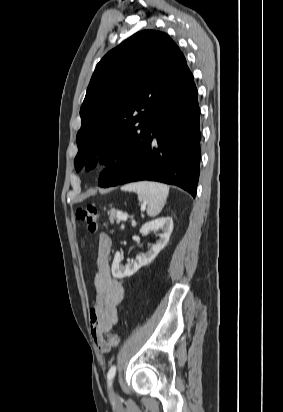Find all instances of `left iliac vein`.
Instances as JSON below:
<instances>
[{
  "label": "left iliac vein",
  "mask_w": 283,
  "mask_h": 412,
  "mask_svg": "<svg viewBox=\"0 0 283 412\" xmlns=\"http://www.w3.org/2000/svg\"><path fill=\"white\" fill-rule=\"evenodd\" d=\"M112 398L114 399V400H117L118 399V395H117V393L114 391V390H112Z\"/></svg>",
  "instance_id": "obj_1"
}]
</instances>
